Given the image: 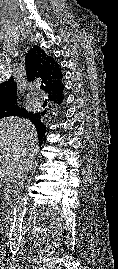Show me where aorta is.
I'll use <instances>...</instances> for the list:
<instances>
[{
    "label": "aorta",
    "instance_id": "762f6f07",
    "mask_svg": "<svg viewBox=\"0 0 118 269\" xmlns=\"http://www.w3.org/2000/svg\"><path fill=\"white\" fill-rule=\"evenodd\" d=\"M27 201L22 196H17L14 201L13 223L9 233V246L11 251H17L21 244L23 220L26 213Z\"/></svg>",
    "mask_w": 118,
    "mask_h": 269
}]
</instances>
